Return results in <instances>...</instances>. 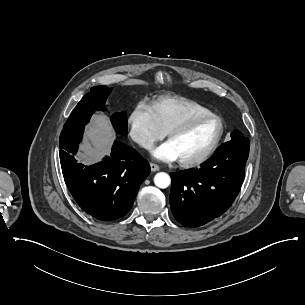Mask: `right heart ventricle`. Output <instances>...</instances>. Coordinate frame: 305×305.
Wrapping results in <instances>:
<instances>
[{"label": "right heart ventricle", "mask_w": 305, "mask_h": 305, "mask_svg": "<svg viewBox=\"0 0 305 305\" xmlns=\"http://www.w3.org/2000/svg\"><path fill=\"white\" fill-rule=\"evenodd\" d=\"M158 122L165 132L177 123L196 115L208 113L203 105L178 96H168L152 104Z\"/></svg>", "instance_id": "right-heart-ventricle-1"}]
</instances>
